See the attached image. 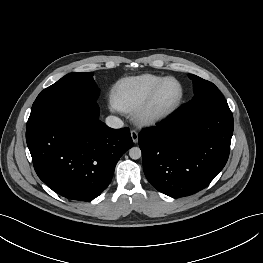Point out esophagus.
I'll use <instances>...</instances> for the list:
<instances>
[{"label":"esophagus","instance_id":"esophagus-1","mask_svg":"<svg viewBox=\"0 0 263 263\" xmlns=\"http://www.w3.org/2000/svg\"><path fill=\"white\" fill-rule=\"evenodd\" d=\"M131 137L134 143L138 142V132L136 130H131Z\"/></svg>","mask_w":263,"mask_h":263}]
</instances>
